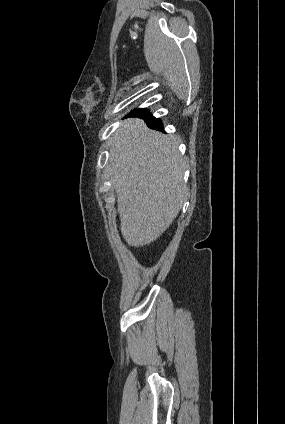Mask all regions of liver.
<instances>
[{"instance_id": "liver-1", "label": "liver", "mask_w": 285, "mask_h": 424, "mask_svg": "<svg viewBox=\"0 0 285 424\" xmlns=\"http://www.w3.org/2000/svg\"><path fill=\"white\" fill-rule=\"evenodd\" d=\"M109 176L121 233L130 246L155 241L178 215L186 194L177 139L126 120L110 140Z\"/></svg>"}]
</instances>
